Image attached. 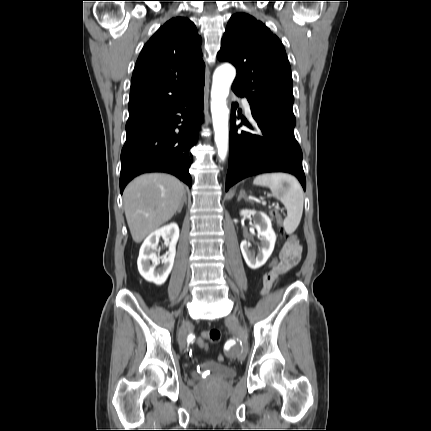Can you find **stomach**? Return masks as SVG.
Segmentation results:
<instances>
[{
  "mask_svg": "<svg viewBox=\"0 0 431 431\" xmlns=\"http://www.w3.org/2000/svg\"><path fill=\"white\" fill-rule=\"evenodd\" d=\"M289 187H290V185L288 183H286V182L283 183V188L284 189H288ZM275 196L278 199H280L281 201H283V192H278V193L275 192Z\"/></svg>",
  "mask_w": 431,
  "mask_h": 431,
  "instance_id": "1",
  "label": "stomach"
}]
</instances>
